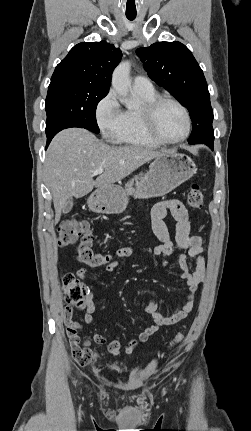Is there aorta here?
<instances>
[{
  "label": "aorta",
  "instance_id": "762f6f07",
  "mask_svg": "<svg viewBox=\"0 0 251 431\" xmlns=\"http://www.w3.org/2000/svg\"><path fill=\"white\" fill-rule=\"evenodd\" d=\"M130 68L129 61L121 62L114 70L112 75V87L120 96V102L123 103L128 109H133L137 106L136 101L129 99V89L131 87L130 81Z\"/></svg>",
  "mask_w": 251,
  "mask_h": 431
}]
</instances>
